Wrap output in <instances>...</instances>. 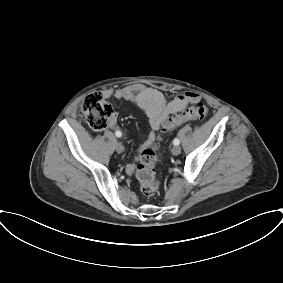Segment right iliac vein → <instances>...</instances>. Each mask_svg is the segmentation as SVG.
<instances>
[{
  "label": "right iliac vein",
  "mask_w": 283,
  "mask_h": 283,
  "mask_svg": "<svg viewBox=\"0 0 283 283\" xmlns=\"http://www.w3.org/2000/svg\"><path fill=\"white\" fill-rule=\"evenodd\" d=\"M123 150H124L123 145H122L120 142H117V143H116V151H117L118 153H122Z\"/></svg>",
  "instance_id": "63e3f726"
}]
</instances>
